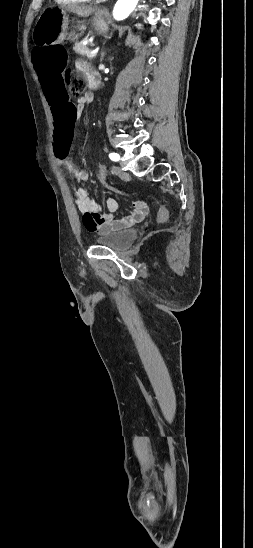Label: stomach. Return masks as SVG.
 Wrapping results in <instances>:
<instances>
[{
  "label": "stomach",
  "instance_id": "0dacf381",
  "mask_svg": "<svg viewBox=\"0 0 253 548\" xmlns=\"http://www.w3.org/2000/svg\"><path fill=\"white\" fill-rule=\"evenodd\" d=\"M93 26L98 34L105 35L108 25L103 14H97ZM75 39V31L68 32V16L63 9L52 8L44 11L39 17L34 32L37 44H57L66 38Z\"/></svg>",
  "mask_w": 253,
  "mask_h": 548
}]
</instances>
